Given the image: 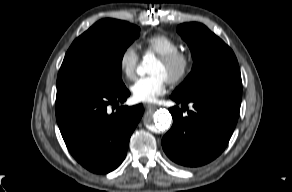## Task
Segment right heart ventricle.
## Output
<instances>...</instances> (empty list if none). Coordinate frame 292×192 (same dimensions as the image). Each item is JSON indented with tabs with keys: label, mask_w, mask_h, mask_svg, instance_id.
I'll list each match as a JSON object with an SVG mask.
<instances>
[{
	"label": "right heart ventricle",
	"mask_w": 292,
	"mask_h": 192,
	"mask_svg": "<svg viewBox=\"0 0 292 192\" xmlns=\"http://www.w3.org/2000/svg\"><path fill=\"white\" fill-rule=\"evenodd\" d=\"M146 51L157 55H165L179 50V43L167 34L157 33L148 36L143 41Z\"/></svg>",
	"instance_id": "1"
}]
</instances>
